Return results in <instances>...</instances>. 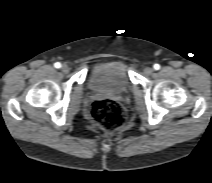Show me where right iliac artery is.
<instances>
[{"label":"right iliac artery","mask_w":212,"mask_h":183,"mask_svg":"<svg viewBox=\"0 0 212 183\" xmlns=\"http://www.w3.org/2000/svg\"><path fill=\"white\" fill-rule=\"evenodd\" d=\"M54 67H55V68H60V67H61V64H60L59 62H56V63L54 64Z\"/></svg>","instance_id":"right-iliac-artery-1"}]
</instances>
